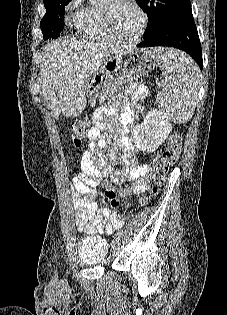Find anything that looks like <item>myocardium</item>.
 Returning a JSON list of instances; mask_svg holds the SVG:
<instances>
[{
	"label": "myocardium",
	"mask_w": 227,
	"mask_h": 315,
	"mask_svg": "<svg viewBox=\"0 0 227 315\" xmlns=\"http://www.w3.org/2000/svg\"><path fill=\"white\" fill-rule=\"evenodd\" d=\"M124 2L131 5L139 14L141 18V25L138 33L131 39H124L120 37L114 30L112 25V18H111V7L117 3ZM102 17H103V24L104 27L112 40L122 42L125 44H135L140 41L143 37L147 26H148V15L144 11V9L135 1V0H107V5H104L102 8Z\"/></svg>",
	"instance_id": "1"
}]
</instances>
